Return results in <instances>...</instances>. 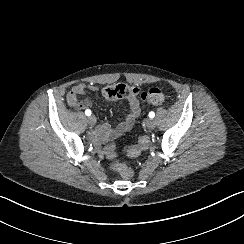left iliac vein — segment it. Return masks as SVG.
<instances>
[{
  "label": "left iliac vein",
  "mask_w": 244,
  "mask_h": 244,
  "mask_svg": "<svg viewBox=\"0 0 244 244\" xmlns=\"http://www.w3.org/2000/svg\"><path fill=\"white\" fill-rule=\"evenodd\" d=\"M145 125H146V127H147L148 129L152 130V129L155 128L156 123H155V121H154L152 118H150V119H147V120L145 121Z\"/></svg>",
  "instance_id": "obj_1"
}]
</instances>
